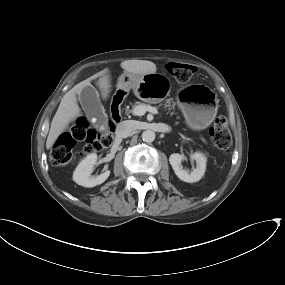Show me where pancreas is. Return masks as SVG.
Masks as SVG:
<instances>
[{
  "mask_svg": "<svg viewBox=\"0 0 285 285\" xmlns=\"http://www.w3.org/2000/svg\"><path fill=\"white\" fill-rule=\"evenodd\" d=\"M138 105H145L144 103H140V102H135L133 105H132V110H126V114H129V113H133L134 114V108ZM165 107H168L169 109H174L175 107V103L173 102L172 99H167L166 102H165Z\"/></svg>",
  "mask_w": 285,
  "mask_h": 285,
  "instance_id": "1",
  "label": "pancreas"
}]
</instances>
